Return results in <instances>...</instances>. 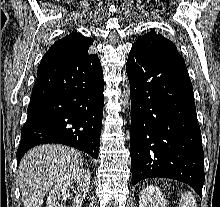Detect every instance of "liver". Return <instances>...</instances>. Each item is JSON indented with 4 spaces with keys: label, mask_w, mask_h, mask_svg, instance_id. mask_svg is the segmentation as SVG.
Masks as SVG:
<instances>
[{
    "label": "liver",
    "mask_w": 220,
    "mask_h": 207,
    "mask_svg": "<svg viewBox=\"0 0 220 207\" xmlns=\"http://www.w3.org/2000/svg\"><path fill=\"white\" fill-rule=\"evenodd\" d=\"M83 162L77 150L63 145L46 144L29 150L17 171L23 206L42 207L51 187Z\"/></svg>",
    "instance_id": "6515ba94"
}]
</instances>
